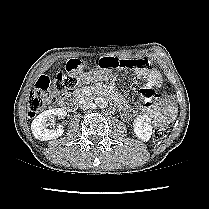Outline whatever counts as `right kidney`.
Returning <instances> with one entry per match:
<instances>
[{
    "instance_id": "ca27d5eb",
    "label": "right kidney",
    "mask_w": 209,
    "mask_h": 209,
    "mask_svg": "<svg viewBox=\"0 0 209 209\" xmlns=\"http://www.w3.org/2000/svg\"><path fill=\"white\" fill-rule=\"evenodd\" d=\"M67 112L62 108L49 109L39 114L31 124L34 137L40 141H48L60 137L64 130L60 126L57 129H47L48 121L54 116L64 117Z\"/></svg>"
}]
</instances>
